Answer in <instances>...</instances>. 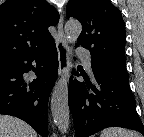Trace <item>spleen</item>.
Listing matches in <instances>:
<instances>
[{
    "label": "spleen",
    "instance_id": "1",
    "mask_svg": "<svg viewBox=\"0 0 144 137\" xmlns=\"http://www.w3.org/2000/svg\"><path fill=\"white\" fill-rule=\"evenodd\" d=\"M100 137H139V134L127 129L111 127L104 129Z\"/></svg>",
    "mask_w": 144,
    "mask_h": 137
}]
</instances>
